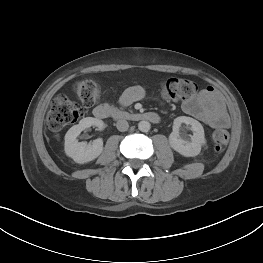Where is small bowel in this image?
<instances>
[{"mask_svg":"<svg viewBox=\"0 0 263 263\" xmlns=\"http://www.w3.org/2000/svg\"><path fill=\"white\" fill-rule=\"evenodd\" d=\"M145 90L132 86L124 91L120 104L124 107L143 99ZM183 111L212 128H227L230 119L219 93L211 86L202 89L193 98L183 102Z\"/></svg>","mask_w":263,"mask_h":263,"instance_id":"1","label":"small bowel"}]
</instances>
